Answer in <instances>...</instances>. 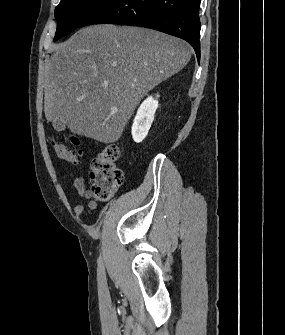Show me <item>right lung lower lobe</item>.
<instances>
[{
	"instance_id": "1",
	"label": "right lung lower lobe",
	"mask_w": 285,
	"mask_h": 335,
	"mask_svg": "<svg viewBox=\"0 0 285 335\" xmlns=\"http://www.w3.org/2000/svg\"><path fill=\"white\" fill-rule=\"evenodd\" d=\"M201 0H116L84 24H122L151 28L187 41L200 60Z\"/></svg>"
}]
</instances>
